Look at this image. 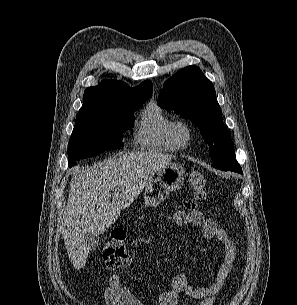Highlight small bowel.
Segmentation results:
<instances>
[{"mask_svg": "<svg viewBox=\"0 0 297 305\" xmlns=\"http://www.w3.org/2000/svg\"><path fill=\"white\" fill-rule=\"evenodd\" d=\"M173 221L177 226H199L207 239L216 238L224 246L223 260L220 265L215 282L208 286H193L189 283L184 272L175 274L169 282V288L164 290L158 299L157 305H181V295L201 300L200 305H212L215 296L219 293L225 280L233 269L236 257V248L227 232L219 228L217 223L199 211H176ZM104 298L107 305H144L143 302L129 289L121 284L120 276L113 273L109 276Z\"/></svg>", "mask_w": 297, "mask_h": 305, "instance_id": "1", "label": "small bowel"}]
</instances>
